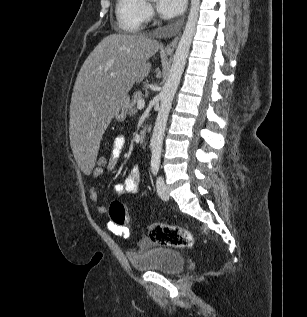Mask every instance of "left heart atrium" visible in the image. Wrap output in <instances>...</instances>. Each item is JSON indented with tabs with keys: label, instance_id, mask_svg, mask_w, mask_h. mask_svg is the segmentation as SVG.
Masks as SVG:
<instances>
[{
	"label": "left heart atrium",
	"instance_id": "39dd6f15",
	"mask_svg": "<svg viewBox=\"0 0 307 317\" xmlns=\"http://www.w3.org/2000/svg\"><path fill=\"white\" fill-rule=\"evenodd\" d=\"M186 0H157L158 11L166 17H175L184 10Z\"/></svg>",
	"mask_w": 307,
	"mask_h": 317
}]
</instances>
